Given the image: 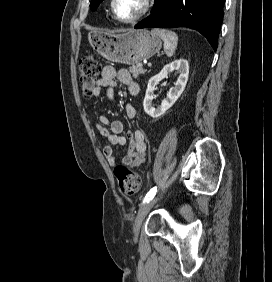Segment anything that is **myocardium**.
<instances>
[{
	"label": "myocardium",
	"mask_w": 272,
	"mask_h": 282,
	"mask_svg": "<svg viewBox=\"0 0 272 282\" xmlns=\"http://www.w3.org/2000/svg\"><path fill=\"white\" fill-rule=\"evenodd\" d=\"M116 2L117 0H111L110 2V9L114 18L119 22L131 24L137 22L138 20H140L141 18H143L145 15L148 14V12L151 10L153 6L154 0H144V8L137 15L129 19H122L121 17L118 16L115 9Z\"/></svg>",
	"instance_id": "f54148a6"
}]
</instances>
